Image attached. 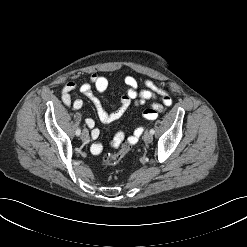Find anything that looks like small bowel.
Returning a JSON list of instances; mask_svg holds the SVG:
<instances>
[{
    "label": "small bowel",
    "instance_id": "c3829d8e",
    "mask_svg": "<svg viewBox=\"0 0 247 247\" xmlns=\"http://www.w3.org/2000/svg\"><path fill=\"white\" fill-rule=\"evenodd\" d=\"M75 77L76 76H73L72 79ZM108 84L107 78L97 73L91 74L89 80L81 85H78L74 81H69L61 89L62 102L67 107H72L75 110L83 108L84 102L81 99L72 98V92L79 89L81 93L91 100L96 109L99 120L104 124H110L119 120L131 105L142 106L147 102L158 98V102H153L143 111V117L146 120H154L157 117L158 112H160L164 107H170L172 105L170 94L161 85L152 80H145V89L139 90L137 80L133 76H126V91L120 100L118 108L113 112H107L98 96L94 93V90H96L97 93L102 94L107 90ZM85 124L91 131L92 139H98L101 131L96 127L95 120L93 118H87ZM142 130V127H137L134 130L131 137L133 143L138 141ZM120 138H123L122 132L116 134L114 144H116ZM92 150L95 153H99L102 150V145L94 143Z\"/></svg>",
    "mask_w": 247,
    "mask_h": 247
}]
</instances>
